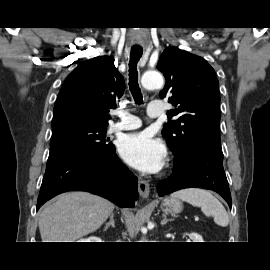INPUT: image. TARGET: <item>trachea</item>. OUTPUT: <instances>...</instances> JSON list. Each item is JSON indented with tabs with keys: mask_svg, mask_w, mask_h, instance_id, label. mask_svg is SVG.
<instances>
[{
	"mask_svg": "<svg viewBox=\"0 0 270 270\" xmlns=\"http://www.w3.org/2000/svg\"><path fill=\"white\" fill-rule=\"evenodd\" d=\"M143 49L141 47H132L129 62V89L136 104H142L143 97L138 85L137 63L141 58Z\"/></svg>",
	"mask_w": 270,
	"mask_h": 270,
	"instance_id": "3493384b",
	"label": "trachea"
}]
</instances>
